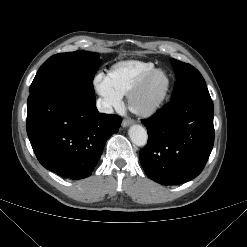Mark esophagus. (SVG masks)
Returning a JSON list of instances; mask_svg holds the SVG:
<instances>
[{
    "label": "esophagus",
    "instance_id": "1",
    "mask_svg": "<svg viewBox=\"0 0 247 247\" xmlns=\"http://www.w3.org/2000/svg\"><path fill=\"white\" fill-rule=\"evenodd\" d=\"M132 123H133V120L132 119H125L122 122V127L123 128H126V127L130 126Z\"/></svg>",
    "mask_w": 247,
    "mask_h": 247
}]
</instances>
